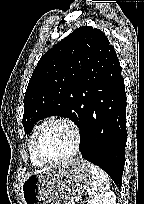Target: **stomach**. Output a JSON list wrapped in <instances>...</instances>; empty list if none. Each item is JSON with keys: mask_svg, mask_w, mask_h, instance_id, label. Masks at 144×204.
I'll return each mask as SVG.
<instances>
[{"mask_svg": "<svg viewBox=\"0 0 144 204\" xmlns=\"http://www.w3.org/2000/svg\"><path fill=\"white\" fill-rule=\"evenodd\" d=\"M90 166L75 159L30 174L21 186L24 204H68L91 185Z\"/></svg>", "mask_w": 144, "mask_h": 204, "instance_id": "stomach-1", "label": "stomach"}]
</instances>
